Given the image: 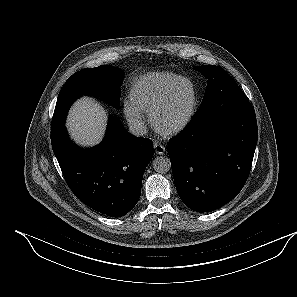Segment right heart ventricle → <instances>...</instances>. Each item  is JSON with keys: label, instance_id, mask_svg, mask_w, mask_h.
<instances>
[{"label": "right heart ventricle", "instance_id": "e07e8e85", "mask_svg": "<svg viewBox=\"0 0 297 297\" xmlns=\"http://www.w3.org/2000/svg\"><path fill=\"white\" fill-rule=\"evenodd\" d=\"M177 77L171 72L144 74L133 81L129 100L141 111L149 113Z\"/></svg>", "mask_w": 297, "mask_h": 297}]
</instances>
